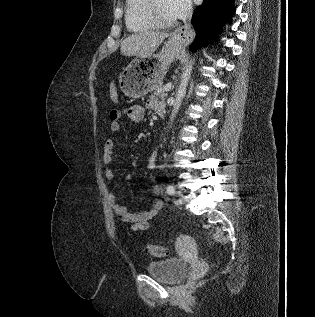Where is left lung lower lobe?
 Here are the masks:
<instances>
[{
	"label": "left lung lower lobe",
	"mask_w": 315,
	"mask_h": 317,
	"mask_svg": "<svg viewBox=\"0 0 315 317\" xmlns=\"http://www.w3.org/2000/svg\"><path fill=\"white\" fill-rule=\"evenodd\" d=\"M234 12V0H204V3L195 9L192 17V25L197 35L190 49L194 51L211 38L216 40L223 24L230 22Z\"/></svg>",
	"instance_id": "1"
}]
</instances>
